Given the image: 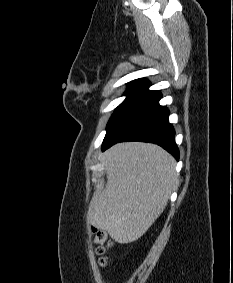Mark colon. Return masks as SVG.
I'll list each match as a JSON object with an SVG mask.
<instances>
[{
    "instance_id": "5ec220e1",
    "label": "colon",
    "mask_w": 233,
    "mask_h": 283,
    "mask_svg": "<svg viewBox=\"0 0 233 283\" xmlns=\"http://www.w3.org/2000/svg\"><path fill=\"white\" fill-rule=\"evenodd\" d=\"M92 232L94 234L95 243L97 244V253L101 256L100 264L106 265L108 263L106 253L111 248L112 242L104 231L93 228Z\"/></svg>"
}]
</instances>
